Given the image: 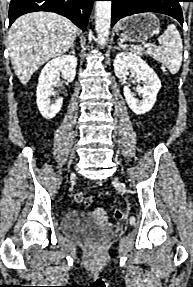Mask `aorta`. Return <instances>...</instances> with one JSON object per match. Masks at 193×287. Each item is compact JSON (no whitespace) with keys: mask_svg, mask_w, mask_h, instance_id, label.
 <instances>
[{"mask_svg":"<svg viewBox=\"0 0 193 287\" xmlns=\"http://www.w3.org/2000/svg\"><path fill=\"white\" fill-rule=\"evenodd\" d=\"M111 1H96L95 26L100 47L106 46L111 25Z\"/></svg>","mask_w":193,"mask_h":287,"instance_id":"1","label":"aorta"}]
</instances>
